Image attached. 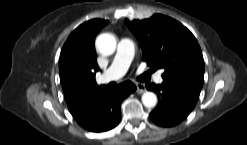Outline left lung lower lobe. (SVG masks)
<instances>
[{
    "label": "left lung lower lobe",
    "mask_w": 247,
    "mask_h": 145,
    "mask_svg": "<svg viewBox=\"0 0 247 145\" xmlns=\"http://www.w3.org/2000/svg\"><path fill=\"white\" fill-rule=\"evenodd\" d=\"M146 88L157 93L159 103L150 113V118L162 127L175 126L183 121L194 109L201 91L173 79H163L160 85L147 83Z\"/></svg>",
    "instance_id": "left-lung-lower-lobe-1"
}]
</instances>
